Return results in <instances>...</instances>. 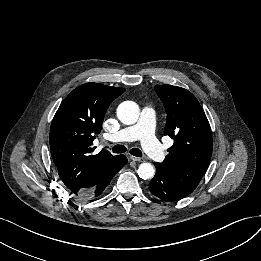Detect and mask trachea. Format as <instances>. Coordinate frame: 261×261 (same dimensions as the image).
Segmentation results:
<instances>
[{
    "mask_svg": "<svg viewBox=\"0 0 261 261\" xmlns=\"http://www.w3.org/2000/svg\"><path fill=\"white\" fill-rule=\"evenodd\" d=\"M126 147L123 146V145H115L113 148H112V151L114 153H124L126 152ZM130 153L136 157H142V152L138 149V148H132L130 150Z\"/></svg>",
    "mask_w": 261,
    "mask_h": 261,
    "instance_id": "3493384b",
    "label": "trachea"
}]
</instances>
